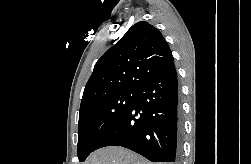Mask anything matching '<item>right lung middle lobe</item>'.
Returning a JSON list of instances; mask_svg holds the SVG:
<instances>
[{"label":"right lung middle lobe","instance_id":"dd1d6c3e","mask_svg":"<svg viewBox=\"0 0 251 164\" xmlns=\"http://www.w3.org/2000/svg\"><path fill=\"white\" fill-rule=\"evenodd\" d=\"M137 89H124L101 95L80 107L78 124V158L84 162L98 142L131 108Z\"/></svg>","mask_w":251,"mask_h":164}]
</instances>
